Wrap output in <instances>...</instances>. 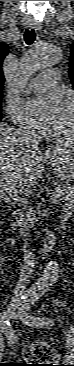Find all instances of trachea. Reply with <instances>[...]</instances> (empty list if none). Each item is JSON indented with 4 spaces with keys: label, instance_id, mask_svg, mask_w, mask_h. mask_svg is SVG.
I'll return each instance as SVG.
<instances>
[{
    "label": "trachea",
    "instance_id": "1",
    "mask_svg": "<svg viewBox=\"0 0 74 366\" xmlns=\"http://www.w3.org/2000/svg\"><path fill=\"white\" fill-rule=\"evenodd\" d=\"M36 39V33L34 29H26L24 32V41L26 42L27 45H31L34 43Z\"/></svg>",
    "mask_w": 74,
    "mask_h": 366
}]
</instances>
